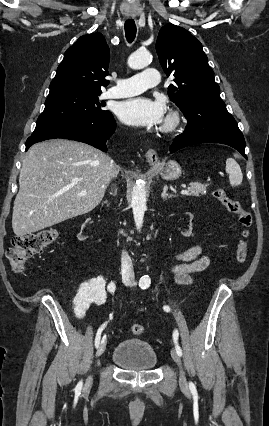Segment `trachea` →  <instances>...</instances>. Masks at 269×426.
<instances>
[{
	"label": "trachea",
	"instance_id": "3493384b",
	"mask_svg": "<svg viewBox=\"0 0 269 426\" xmlns=\"http://www.w3.org/2000/svg\"><path fill=\"white\" fill-rule=\"evenodd\" d=\"M125 36L129 43H132L136 36V24L133 19H128L125 21Z\"/></svg>",
	"mask_w": 269,
	"mask_h": 426
}]
</instances>
